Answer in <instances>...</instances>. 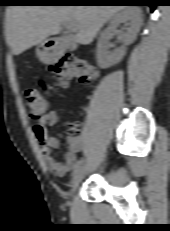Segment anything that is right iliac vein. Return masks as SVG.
<instances>
[{
    "label": "right iliac vein",
    "instance_id": "right-iliac-vein-1",
    "mask_svg": "<svg viewBox=\"0 0 170 231\" xmlns=\"http://www.w3.org/2000/svg\"><path fill=\"white\" fill-rule=\"evenodd\" d=\"M85 176V168H79L73 175L71 180V193L75 191V189L79 186Z\"/></svg>",
    "mask_w": 170,
    "mask_h": 231
}]
</instances>
